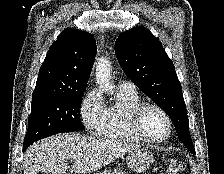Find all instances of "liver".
<instances>
[{"label": "liver", "instance_id": "obj_1", "mask_svg": "<svg viewBox=\"0 0 224 174\" xmlns=\"http://www.w3.org/2000/svg\"><path fill=\"white\" fill-rule=\"evenodd\" d=\"M139 148L138 145L80 136L77 134L55 135L33 143L24 153V174L92 173ZM68 160L73 164L68 167Z\"/></svg>", "mask_w": 224, "mask_h": 174}]
</instances>
